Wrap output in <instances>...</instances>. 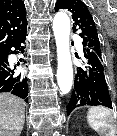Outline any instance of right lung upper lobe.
Returning a JSON list of instances; mask_svg holds the SVG:
<instances>
[{
	"label": "right lung upper lobe",
	"instance_id": "obj_1",
	"mask_svg": "<svg viewBox=\"0 0 117 136\" xmlns=\"http://www.w3.org/2000/svg\"><path fill=\"white\" fill-rule=\"evenodd\" d=\"M25 5L21 0H0V51L25 26Z\"/></svg>",
	"mask_w": 117,
	"mask_h": 136
}]
</instances>
